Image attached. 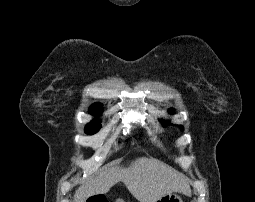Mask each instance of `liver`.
<instances>
[{"mask_svg":"<svg viewBox=\"0 0 255 202\" xmlns=\"http://www.w3.org/2000/svg\"><path fill=\"white\" fill-rule=\"evenodd\" d=\"M120 181L139 202H157L174 191L190 193L182 174L160 161L141 157L127 168L111 167L82 184L75 192L74 202H85L93 195L105 194Z\"/></svg>","mask_w":255,"mask_h":202,"instance_id":"liver-1","label":"liver"}]
</instances>
